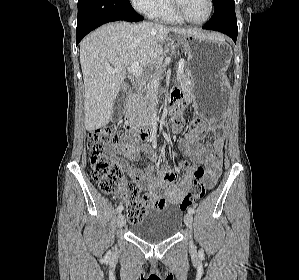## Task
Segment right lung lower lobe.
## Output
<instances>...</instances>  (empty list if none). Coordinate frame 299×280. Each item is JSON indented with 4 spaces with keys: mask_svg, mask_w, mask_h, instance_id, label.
Wrapping results in <instances>:
<instances>
[{
    "mask_svg": "<svg viewBox=\"0 0 299 280\" xmlns=\"http://www.w3.org/2000/svg\"><path fill=\"white\" fill-rule=\"evenodd\" d=\"M143 19L129 0H78L76 45L102 24L118 20L137 22Z\"/></svg>",
    "mask_w": 299,
    "mask_h": 280,
    "instance_id": "98d812e1",
    "label": "right lung lower lobe"
}]
</instances>
